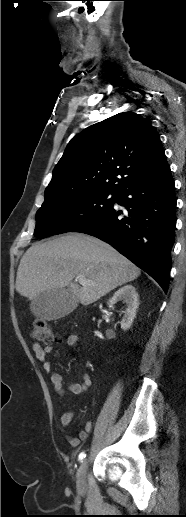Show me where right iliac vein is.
<instances>
[{"label": "right iliac vein", "mask_w": 186, "mask_h": 517, "mask_svg": "<svg viewBox=\"0 0 186 517\" xmlns=\"http://www.w3.org/2000/svg\"><path fill=\"white\" fill-rule=\"evenodd\" d=\"M87 465H88L87 460H84L78 470L77 487L80 491H83L85 488V474H86Z\"/></svg>", "instance_id": "63e3f726"}]
</instances>
